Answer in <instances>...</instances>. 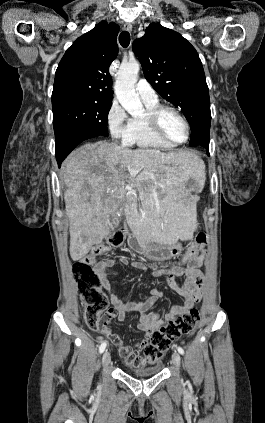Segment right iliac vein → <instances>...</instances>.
Instances as JSON below:
<instances>
[{"instance_id":"1","label":"right iliac vein","mask_w":265,"mask_h":423,"mask_svg":"<svg viewBox=\"0 0 265 423\" xmlns=\"http://www.w3.org/2000/svg\"><path fill=\"white\" fill-rule=\"evenodd\" d=\"M111 362V355L108 351H105L102 356V365L104 368H107Z\"/></svg>"}]
</instances>
